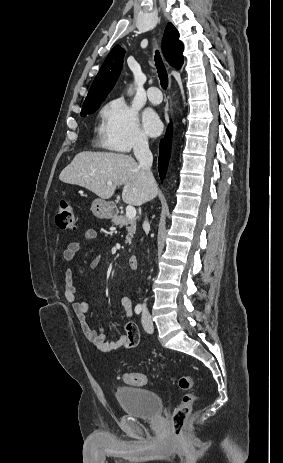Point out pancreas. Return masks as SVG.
<instances>
[{
    "instance_id": "pancreas-1",
    "label": "pancreas",
    "mask_w": 283,
    "mask_h": 463,
    "mask_svg": "<svg viewBox=\"0 0 283 463\" xmlns=\"http://www.w3.org/2000/svg\"><path fill=\"white\" fill-rule=\"evenodd\" d=\"M112 223L114 225H118L119 227L126 226L128 231L126 243H130L136 231V218L129 219L124 215H114L112 218Z\"/></svg>"
}]
</instances>
